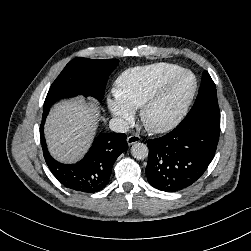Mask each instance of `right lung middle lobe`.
Here are the masks:
<instances>
[{"mask_svg":"<svg viewBox=\"0 0 251 251\" xmlns=\"http://www.w3.org/2000/svg\"><path fill=\"white\" fill-rule=\"evenodd\" d=\"M118 64V59L75 58L71 60L51 85L43 110L50 109L62 98L78 95L92 96L101 102L108 77Z\"/></svg>","mask_w":251,"mask_h":251,"instance_id":"obj_1","label":"right lung middle lobe"}]
</instances>
